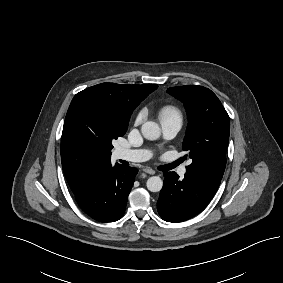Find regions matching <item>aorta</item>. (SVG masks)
Here are the masks:
<instances>
[{
    "mask_svg": "<svg viewBox=\"0 0 283 283\" xmlns=\"http://www.w3.org/2000/svg\"><path fill=\"white\" fill-rule=\"evenodd\" d=\"M141 132L147 140H156L160 137L161 131L157 123L153 121L145 122L141 127ZM147 189L151 192H159L162 189L163 181L159 176H152L146 182Z\"/></svg>",
    "mask_w": 283,
    "mask_h": 283,
    "instance_id": "1",
    "label": "aorta"
}]
</instances>
